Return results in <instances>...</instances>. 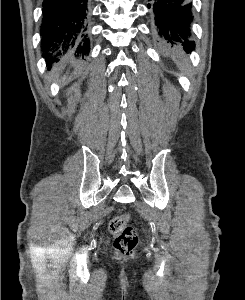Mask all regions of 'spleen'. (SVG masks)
<instances>
[{
	"mask_svg": "<svg viewBox=\"0 0 245 300\" xmlns=\"http://www.w3.org/2000/svg\"><path fill=\"white\" fill-rule=\"evenodd\" d=\"M181 59V58H180ZM177 65L179 66L180 69H184L185 68V62L181 59L177 61Z\"/></svg>",
	"mask_w": 245,
	"mask_h": 300,
	"instance_id": "spleen-1",
	"label": "spleen"
}]
</instances>
